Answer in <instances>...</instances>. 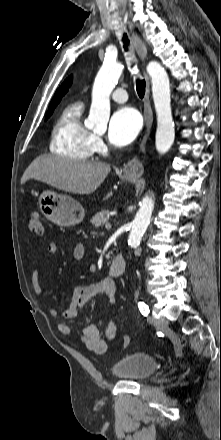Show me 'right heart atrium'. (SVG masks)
<instances>
[{"mask_svg": "<svg viewBox=\"0 0 221 440\" xmlns=\"http://www.w3.org/2000/svg\"><path fill=\"white\" fill-rule=\"evenodd\" d=\"M91 142H92V148H93L94 152L102 153L105 151L106 145L100 135L93 134Z\"/></svg>", "mask_w": 221, "mask_h": 440, "instance_id": "1", "label": "right heart atrium"}]
</instances>
